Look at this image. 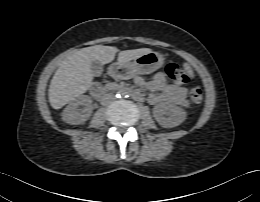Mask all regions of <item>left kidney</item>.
Here are the masks:
<instances>
[{
  "label": "left kidney",
  "instance_id": "left-kidney-1",
  "mask_svg": "<svg viewBox=\"0 0 260 202\" xmlns=\"http://www.w3.org/2000/svg\"><path fill=\"white\" fill-rule=\"evenodd\" d=\"M153 115L160 126L173 128L184 122L187 114L181 107L170 103H162L153 108Z\"/></svg>",
  "mask_w": 260,
  "mask_h": 202
}]
</instances>
